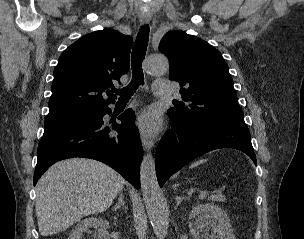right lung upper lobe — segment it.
<instances>
[{"instance_id":"1","label":"right lung upper lobe","mask_w":304,"mask_h":239,"mask_svg":"<svg viewBox=\"0 0 304 239\" xmlns=\"http://www.w3.org/2000/svg\"><path fill=\"white\" fill-rule=\"evenodd\" d=\"M133 40L112 29L81 37L60 56L54 70L46 120L72 117L114 103L113 80L127 73ZM106 93L108 99H104Z\"/></svg>"}]
</instances>
